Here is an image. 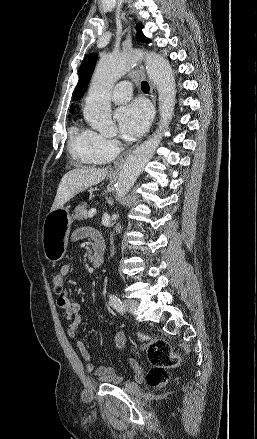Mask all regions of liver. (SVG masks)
I'll return each mask as SVG.
<instances>
[{"instance_id":"1","label":"liver","mask_w":257,"mask_h":439,"mask_svg":"<svg viewBox=\"0 0 257 439\" xmlns=\"http://www.w3.org/2000/svg\"><path fill=\"white\" fill-rule=\"evenodd\" d=\"M108 174L103 168H78L67 172L61 179L51 210L63 207L70 199L87 188L102 182Z\"/></svg>"}]
</instances>
